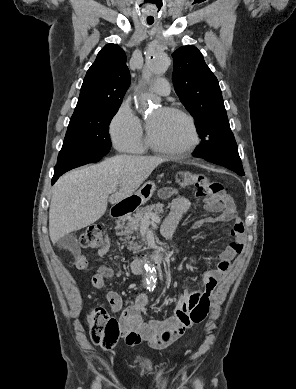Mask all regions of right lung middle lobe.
Returning a JSON list of instances; mask_svg holds the SVG:
<instances>
[{"label": "right lung middle lobe", "instance_id": "1", "mask_svg": "<svg viewBox=\"0 0 296 389\" xmlns=\"http://www.w3.org/2000/svg\"><path fill=\"white\" fill-rule=\"evenodd\" d=\"M119 106L93 110L70 120L54 170L68 169L98 162L111 147L109 124Z\"/></svg>", "mask_w": 296, "mask_h": 389}]
</instances>
